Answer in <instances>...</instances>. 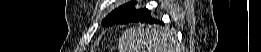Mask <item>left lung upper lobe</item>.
<instances>
[{
  "mask_svg": "<svg viewBox=\"0 0 261 52\" xmlns=\"http://www.w3.org/2000/svg\"><path fill=\"white\" fill-rule=\"evenodd\" d=\"M135 1L126 3L109 13L102 21L104 26H111L116 23H127L139 20L148 10L135 9Z\"/></svg>",
  "mask_w": 261,
  "mask_h": 52,
  "instance_id": "1",
  "label": "left lung upper lobe"
}]
</instances>
